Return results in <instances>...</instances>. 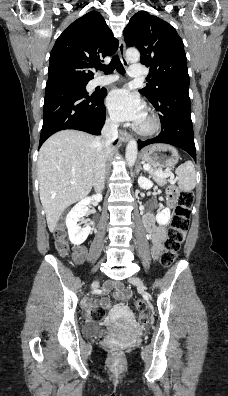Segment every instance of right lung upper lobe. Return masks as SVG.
<instances>
[{"label":"right lung upper lobe","instance_id":"obj_1","mask_svg":"<svg viewBox=\"0 0 228 396\" xmlns=\"http://www.w3.org/2000/svg\"><path fill=\"white\" fill-rule=\"evenodd\" d=\"M117 48L118 40L103 16L96 11L85 14L56 40L50 53L46 87L90 81L94 75L90 69Z\"/></svg>","mask_w":228,"mask_h":396}]
</instances>
